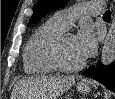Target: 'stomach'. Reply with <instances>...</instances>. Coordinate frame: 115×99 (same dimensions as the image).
Listing matches in <instances>:
<instances>
[{"mask_svg":"<svg viewBox=\"0 0 115 99\" xmlns=\"http://www.w3.org/2000/svg\"><path fill=\"white\" fill-rule=\"evenodd\" d=\"M77 89H78V91H79L80 93L85 94V93H87V92H90L91 86H90L89 84H87V83H85V84H78V85H77Z\"/></svg>","mask_w":115,"mask_h":99,"instance_id":"0dacf381","label":"stomach"}]
</instances>
